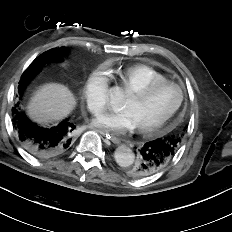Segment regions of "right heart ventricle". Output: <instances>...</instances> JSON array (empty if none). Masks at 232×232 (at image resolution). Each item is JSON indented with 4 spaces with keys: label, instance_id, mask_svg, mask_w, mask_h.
Segmentation results:
<instances>
[{
    "label": "right heart ventricle",
    "instance_id": "obj_1",
    "mask_svg": "<svg viewBox=\"0 0 232 232\" xmlns=\"http://www.w3.org/2000/svg\"><path fill=\"white\" fill-rule=\"evenodd\" d=\"M108 76L117 80L127 92L140 89L153 82L167 80L163 74L143 64L131 65L111 71Z\"/></svg>",
    "mask_w": 232,
    "mask_h": 232
}]
</instances>
